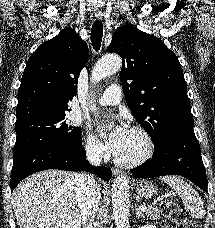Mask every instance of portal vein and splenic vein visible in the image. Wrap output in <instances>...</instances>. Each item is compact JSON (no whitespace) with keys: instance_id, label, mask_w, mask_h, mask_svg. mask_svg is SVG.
Wrapping results in <instances>:
<instances>
[{"instance_id":"18ae733b","label":"portal vein and splenic vein","mask_w":215,"mask_h":228,"mask_svg":"<svg viewBox=\"0 0 215 228\" xmlns=\"http://www.w3.org/2000/svg\"><path fill=\"white\" fill-rule=\"evenodd\" d=\"M139 210H141V212H145V210H147L146 206H140Z\"/></svg>"}]
</instances>
